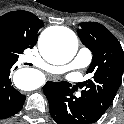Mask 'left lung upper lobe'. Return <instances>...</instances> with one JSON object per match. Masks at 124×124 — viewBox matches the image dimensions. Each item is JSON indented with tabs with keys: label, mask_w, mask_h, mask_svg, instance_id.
I'll list each match as a JSON object with an SVG mask.
<instances>
[{
	"label": "left lung upper lobe",
	"mask_w": 124,
	"mask_h": 124,
	"mask_svg": "<svg viewBox=\"0 0 124 124\" xmlns=\"http://www.w3.org/2000/svg\"><path fill=\"white\" fill-rule=\"evenodd\" d=\"M78 29L82 43L92 51L93 59L86 73L92 78L80 83L81 92L103 115L122 82L124 52L117 38L103 25L83 22Z\"/></svg>",
	"instance_id": "left-lung-upper-lobe-1"
}]
</instances>
